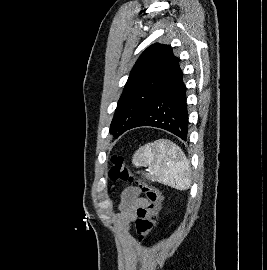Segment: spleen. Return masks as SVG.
<instances>
[{
	"mask_svg": "<svg viewBox=\"0 0 267 270\" xmlns=\"http://www.w3.org/2000/svg\"><path fill=\"white\" fill-rule=\"evenodd\" d=\"M136 167H148L147 179L178 190L189 189L191 172L183 151L168 139H159L140 147L132 157Z\"/></svg>",
	"mask_w": 267,
	"mask_h": 270,
	"instance_id": "spleen-1",
	"label": "spleen"
}]
</instances>
